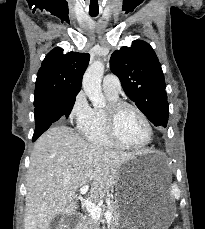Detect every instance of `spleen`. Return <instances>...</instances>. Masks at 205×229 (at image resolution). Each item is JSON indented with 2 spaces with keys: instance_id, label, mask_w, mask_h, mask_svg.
<instances>
[{
  "instance_id": "obj_1",
  "label": "spleen",
  "mask_w": 205,
  "mask_h": 229,
  "mask_svg": "<svg viewBox=\"0 0 205 229\" xmlns=\"http://www.w3.org/2000/svg\"><path fill=\"white\" fill-rule=\"evenodd\" d=\"M171 194L177 200L180 198V190L176 183L172 184L171 186Z\"/></svg>"
}]
</instances>
